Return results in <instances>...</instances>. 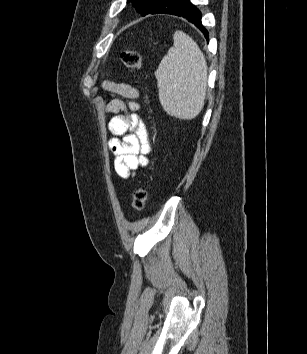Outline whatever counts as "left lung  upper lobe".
<instances>
[{
	"label": "left lung upper lobe",
	"instance_id": "left-lung-upper-lobe-1",
	"mask_svg": "<svg viewBox=\"0 0 307 354\" xmlns=\"http://www.w3.org/2000/svg\"><path fill=\"white\" fill-rule=\"evenodd\" d=\"M169 0H129L136 10L145 16L149 13L154 14L162 9Z\"/></svg>",
	"mask_w": 307,
	"mask_h": 354
}]
</instances>
